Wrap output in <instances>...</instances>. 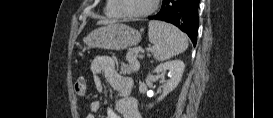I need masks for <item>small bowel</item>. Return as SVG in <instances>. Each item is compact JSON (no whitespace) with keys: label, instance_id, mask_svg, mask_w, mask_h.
Masks as SVG:
<instances>
[{"label":"small bowel","instance_id":"c3829d8e","mask_svg":"<svg viewBox=\"0 0 273 118\" xmlns=\"http://www.w3.org/2000/svg\"><path fill=\"white\" fill-rule=\"evenodd\" d=\"M91 72L94 76L96 89L104 92V85L101 76H104L108 84L119 95L115 109L108 108L107 118H140L137 108V101L131 96L133 81L130 77L122 75L116 67L115 61L110 57H96L91 64ZM100 102L93 100L89 104V113L86 118H94L93 113L100 110Z\"/></svg>","mask_w":273,"mask_h":118}]
</instances>
